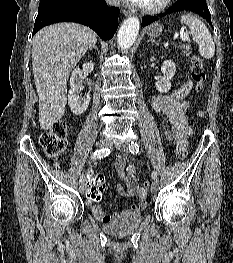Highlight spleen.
Returning <instances> with one entry per match:
<instances>
[{
  "mask_svg": "<svg viewBox=\"0 0 233 263\" xmlns=\"http://www.w3.org/2000/svg\"><path fill=\"white\" fill-rule=\"evenodd\" d=\"M181 23L189 27L193 40L198 44L200 55L211 59L214 56L215 44L206 25L192 14L182 15Z\"/></svg>",
  "mask_w": 233,
  "mask_h": 263,
  "instance_id": "spleen-1",
  "label": "spleen"
}]
</instances>
